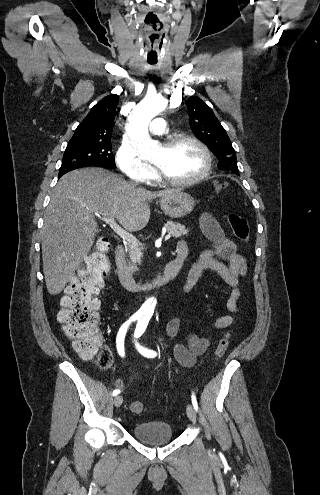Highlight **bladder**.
<instances>
[{"instance_id": "1", "label": "bladder", "mask_w": 320, "mask_h": 495, "mask_svg": "<svg viewBox=\"0 0 320 495\" xmlns=\"http://www.w3.org/2000/svg\"><path fill=\"white\" fill-rule=\"evenodd\" d=\"M133 434L138 440L147 444H163L173 439L172 427L163 421L136 424L133 428Z\"/></svg>"}]
</instances>
